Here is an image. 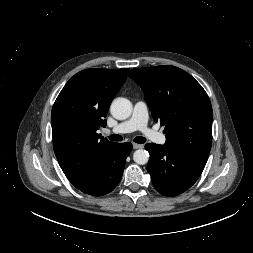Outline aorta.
I'll use <instances>...</instances> for the list:
<instances>
[{"instance_id": "1", "label": "aorta", "mask_w": 253, "mask_h": 253, "mask_svg": "<svg viewBox=\"0 0 253 253\" xmlns=\"http://www.w3.org/2000/svg\"><path fill=\"white\" fill-rule=\"evenodd\" d=\"M132 109V103L126 98H117L110 106V112L117 120L129 118L132 114ZM133 160L139 165H144L149 160V153L146 150L138 149L133 154Z\"/></svg>"}]
</instances>
